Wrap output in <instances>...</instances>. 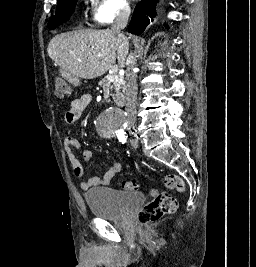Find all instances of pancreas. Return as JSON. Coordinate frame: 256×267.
Instances as JSON below:
<instances>
[{
	"label": "pancreas",
	"instance_id": "pancreas-1",
	"mask_svg": "<svg viewBox=\"0 0 256 267\" xmlns=\"http://www.w3.org/2000/svg\"><path fill=\"white\" fill-rule=\"evenodd\" d=\"M110 76H116V74H110ZM100 86H102L105 94H108L109 90H111L112 94H108V96H112L115 104L117 106H123L124 104V78L123 76H118V82H111L108 78H104L102 82H100Z\"/></svg>",
	"mask_w": 256,
	"mask_h": 267
}]
</instances>
